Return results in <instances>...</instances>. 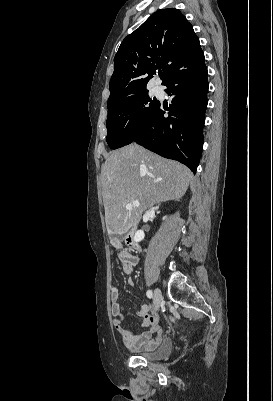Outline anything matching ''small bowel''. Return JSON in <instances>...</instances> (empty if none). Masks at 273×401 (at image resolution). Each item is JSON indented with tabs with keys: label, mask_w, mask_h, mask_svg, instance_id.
Here are the masks:
<instances>
[{
	"label": "small bowel",
	"mask_w": 273,
	"mask_h": 401,
	"mask_svg": "<svg viewBox=\"0 0 273 401\" xmlns=\"http://www.w3.org/2000/svg\"><path fill=\"white\" fill-rule=\"evenodd\" d=\"M116 249L118 260L122 266L125 274H131L138 258L127 248H125L119 241L113 242ZM129 285H133L134 281L129 280ZM111 298V313L114 316L113 327L117 334L122 338L124 344L136 351H153L163 341L162 327L158 315L150 314V306L143 304L136 312L140 320L141 331H133L125 328L122 324L124 314L119 302L120 290L119 287L114 285L110 290ZM185 324L189 323L188 319L184 320ZM188 326V325H187Z\"/></svg>",
	"instance_id": "obj_1"
}]
</instances>
